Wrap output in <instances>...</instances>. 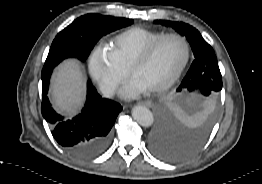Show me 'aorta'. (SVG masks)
<instances>
[{"label":"aorta","instance_id":"1","mask_svg":"<svg viewBox=\"0 0 262 184\" xmlns=\"http://www.w3.org/2000/svg\"><path fill=\"white\" fill-rule=\"evenodd\" d=\"M133 119L143 127H150L154 121L152 112L145 106L137 105L132 109Z\"/></svg>","mask_w":262,"mask_h":184}]
</instances>
